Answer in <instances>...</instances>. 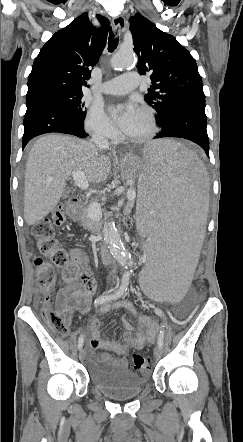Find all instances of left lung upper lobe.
I'll list each match as a JSON object with an SVG mask.
<instances>
[{
	"label": "left lung upper lobe",
	"instance_id": "1",
	"mask_svg": "<svg viewBox=\"0 0 243 442\" xmlns=\"http://www.w3.org/2000/svg\"><path fill=\"white\" fill-rule=\"evenodd\" d=\"M130 31L139 73L151 74L152 85L145 98L158 113L157 123L166 117L178 99L204 94L195 59L172 35L140 14L130 19Z\"/></svg>",
	"mask_w": 243,
	"mask_h": 442
}]
</instances>
